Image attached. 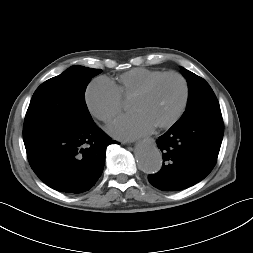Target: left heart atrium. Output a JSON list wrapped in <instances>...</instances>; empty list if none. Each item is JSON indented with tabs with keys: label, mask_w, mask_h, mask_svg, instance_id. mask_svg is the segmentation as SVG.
<instances>
[{
	"label": "left heart atrium",
	"mask_w": 253,
	"mask_h": 253,
	"mask_svg": "<svg viewBox=\"0 0 253 253\" xmlns=\"http://www.w3.org/2000/svg\"><path fill=\"white\" fill-rule=\"evenodd\" d=\"M154 125L141 113L122 116L109 126V132L120 139L131 140L146 135Z\"/></svg>",
	"instance_id": "left-heart-atrium-1"
}]
</instances>
